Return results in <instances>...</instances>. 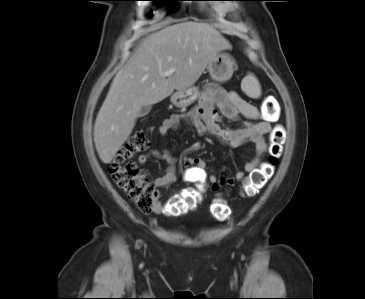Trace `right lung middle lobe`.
Segmentation results:
<instances>
[{
    "label": "right lung middle lobe",
    "instance_id": "dd1d6c3e",
    "mask_svg": "<svg viewBox=\"0 0 365 299\" xmlns=\"http://www.w3.org/2000/svg\"><path fill=\"white\" fill-rule=\"evenodd\" d=\"M152 1H178V0H152ZM178 10V8L175 6L171 11L170 13H174Z\"/></svg>",
    "mask_w": 365,
    "mask_h": 299
}]
</instances>
